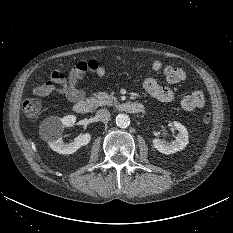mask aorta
<instances>
[{
	"label": "aorta",
	"instance_id": "1",
	"mask_svg": "<svg viewBox=\"0 0 233 233\" xmlns=\"http://www.w3.org/2000/svg\"><path fill=\"white\" fill-rule=\"evenodd\" d=\"M116 124L120 128L128 127L129 124H130L129 116L127 114H124V113L118 114L117 117H116Z\"/></svg>",
	"mask_w": 233,
	"mask_h": 233
}]
</instances>
